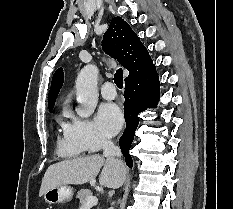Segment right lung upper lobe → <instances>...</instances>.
Masks as SVG:
<instances>
[{"label":"right lung upper lobe","mask_w":233,"mask_h":209,"mask_svg":"<svg viewBox=\"0 0 233 209\" xmlns=\"http://www.w3.org/2000/svg\"><path fill=\"white\" fill-rule=\"evenodd\" d=\"M102 47L106 54L117 59L129 71L125 83L140 77L154 66L147 49L141 43L137 34L120 17H115L111 21L103 36ZM63 81V69L59 68L52 77L48 94L50 111L54 107L55 99L63 85Z\"/></svg>","instance_id":"1"}]
</instances>
